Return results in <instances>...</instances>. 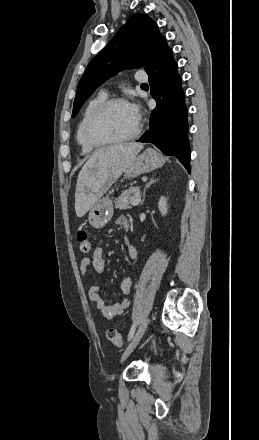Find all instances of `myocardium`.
Here are the masks:
<instances>
[{
	"mask_svg": "<svg viewBox=\"0 0 259 440\" xmlns=\"http://www.w3.org/2000/svg\"><path fill=\"white\" fill-rule=\"evenodd\" d=\"M117 104H128L129 102L125 98L121 97H115L106 99L104 102L99 104L89 115L85 126H84V137L86 142L96 148L105 147V146H111V145H117L122 144L128 141L133 140L136 138L140 132H141V124L140 122L137 123L136 128L132 133H130L127 136H124L122 138L118 139H100L94 134V128L95 125L98 123V121L102 118V116L113 106Z\"/></svg>",
	"mask_w": 259,
	"mask_h": 440,
	"instance_id": "f54148a6",
	"label": "myocardium"
}]
</instances>
